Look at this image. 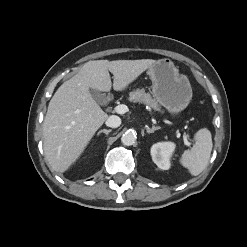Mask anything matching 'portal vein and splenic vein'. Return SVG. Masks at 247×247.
I'll list each match as a JSON object with an SVG mask.
<instances>
[{"instance_id":"18ae733b","label":"portal vein and splenic vein","mask_w":247,"mask_h":247,"mask_svg":"<svg viewBox=\"0 0 247 247\" xmlns=\"http://www.w3.org/2000/svg\"><path fill=\"white\" fill-rule=\"evenodd\" d=\"M115 111L118 113V114H124L126 112H128V107L124 104H120L118 106L115 107ZM184 138V143L189 146L190 145V142L187 140V136L184 134L183 136Z\"/></svg>"}]
</instances>
